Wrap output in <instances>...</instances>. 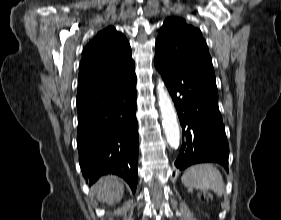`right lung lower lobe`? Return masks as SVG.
<instances>
[{
  "mask_svg": "<svg viewBox=\"0 0 281 220\" xmlns=\"http://www.w3.org/2000/svg\"><path fill=\"white\" fill-rule=\"evenodd\" d=\"M136 80L117 91L77 103L79 163L90 185L101 176L122 177L133 192L138 181Z\"/></svg>",
  "mask_w": 281,
  "mask_h": 220,
  "instance_id": "1",
  "label": "right lung lower lobe"
}]
</instances>
